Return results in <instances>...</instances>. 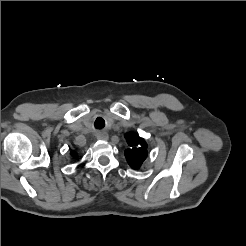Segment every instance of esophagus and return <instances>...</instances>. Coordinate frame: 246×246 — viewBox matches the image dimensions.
Segmentation results:
<instances>
[{
    "label": "esophagus",
    "mask_w": 246,
    "mask_h": 246,
    "mask_svg": "<svg viewBox=\"0 0 246 246\" xmlns=\"http://www.w3.org/2000/svg\"><path fill=\"white\" fill-rule=\"evenodd\" d=\"M96 139L97 140H107L108 139V134L106 132H98L96 134Z\"/></svg>",
    "instance_id": "obj_1"
}]
</instances>
